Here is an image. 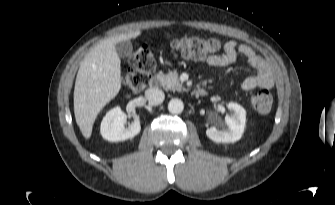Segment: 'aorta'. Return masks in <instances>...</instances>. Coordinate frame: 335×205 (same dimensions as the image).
Instances as JSON below:
<instances>
[{
  "instance_id": "obj_1",
  "label": "aorta",
  "mask_w": 335,
  "mask_h": 205,
  "mask_svg": "<svg viewBox=\"0 0 335 205\" xmlns=\"http://www.w3.org/2000/svg\"><path fill=\"white\" fill-rule=\"evenodd\" d=\"M183 109H184V104L179 99H172L168 103V110L172 114H179L183 111Z\"/></svg>"
}]
</instances>
